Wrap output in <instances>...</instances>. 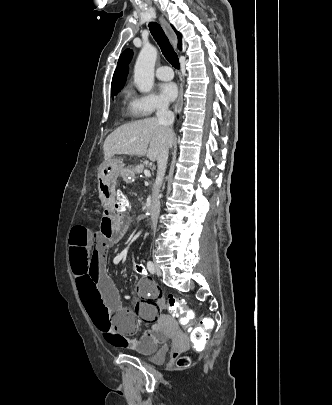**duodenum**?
Listing matches in <instances>:
<instances>
[{
	"label": "duodenum",
	"mask_w": 332,
	"mask_h": 405,
	"mask_svg": "<svg viewBox=\"0 0 332 405\" xmlns=\"http://www.w3.org/2000/svg\"><path fill=\"white\" fill-rule=\"evenodd\" d=\"M118 219L122 220V221H126L127 216L125 214H123V212H119L118 213Z\"/></svg>",
	"instance_id": "duodenum-1"
}]
</instances>
